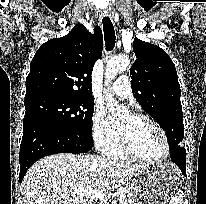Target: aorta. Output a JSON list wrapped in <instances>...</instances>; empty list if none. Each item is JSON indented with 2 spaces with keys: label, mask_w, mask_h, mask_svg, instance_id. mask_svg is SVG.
Returning <instances> with one entry per match:
<instances>
[{
  "label": "aorta",
  "mask_w": 206,
  "mask_h": 204,
  "mask_svg": "<svg viewBox=\"0 0 206 204\" xmlns=\"http://www.w3.org/2000/svg\"><path fill=\"white\" fill-rule=\"evenodd\" d=\"M129 62V58L126 55H118L111 58L107 62L105 69L106 85H108V83L112 81L119 73L125 71L129 66ZM105 94L107 105L111 113V119L116 121L122 118L127 113L126 108L117 104V101L114 99L113 95L109 93V90L108 92L106 90Z\"/></svg>",
  "instance_id": "obj_1"
}]
</instances>
